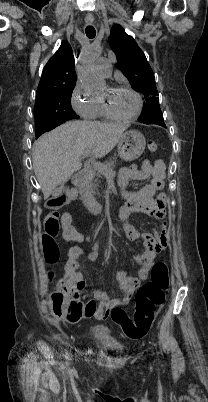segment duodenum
Masks as SVG:
<instances>
[{
	"label": "duodenum",
	"instance_id": "duodenum-1",
	"mask_svg": "<svg viewBox=\"0 0 208 402\" xmlns=\"http://www.w3.org/2000/svg\"><path fill=\"white\" fill-rule=\"evenodd\" d=\"M86 181V174L83 171L76 172L72 177V182L76 188L81 189ZM82 200L87 209L92 212H99L101 210V205L96 202L94 199L87 197L86 195H82Z\"/></svg>",
	"mask_w": 208,
	"mask_h": 402
}]
</instances>
